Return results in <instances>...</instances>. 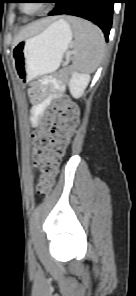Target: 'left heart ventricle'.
<instances>
[{
	"label": "left heart ventricle",
	"mask_w": 136,
	"mask_h": 296,
	"mask_svg": "<svg viewBox=\"0 0 136 296\" xmlns=\"http://www.w3.org/2000/svg\"><path fill=\"white\" fill-rule=\"evenodd\" d=\"M23 6H24L25 11L33 12L38 9L40 4L39 3H24Z\"/></svg>",
	"instance_id": "left-heart-ventricle-1"
}]
</instances>
